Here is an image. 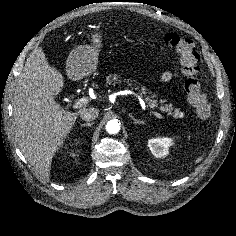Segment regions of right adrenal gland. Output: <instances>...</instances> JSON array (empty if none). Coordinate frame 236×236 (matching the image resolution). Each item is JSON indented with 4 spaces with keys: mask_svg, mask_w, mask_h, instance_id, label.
<instances>
[{
    "mask_svg": "<svg viewBox=\"0 0 236 236\" xmlns=\"http://www.w3.org/2000/svg\"><path fill=\"white\" fill-rule=\"evenodd\" d=\"M94 123L91 122V123H84V124H81V127H91Z\"/></svg>",
    "mask_w": 236,
    "mask_h": 236,
    "instance_id": "1",
    "label": "right adrenal gland"
}]
</instances>
